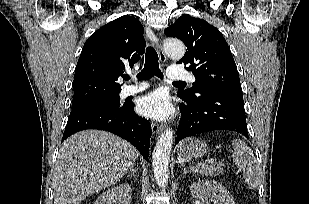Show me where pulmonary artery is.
I'll list each match as a JSON object with an SVG mask.
<instances>
[{
  "instance_id": "pulmonary-artery-1",
  "label": "pulmonary artery",
  "mask_w": 309,
  "mask_h": 204,
  "mask_svg": "<svg viewBox=\"0 0 309 204\" xmlns=\"http://www.w3.org/2000/svg\"><path fill=\"white\" fill-rule=\"evenodd\" d=\"M167 77L170 80H186L190 82L195 81V77L188 71L180 68L171 67L167 71ZM148 84L145 82H140L135 85H128L122 89V94L124 96L133 95L145 90Z\"/></svg>"
}]
</instances>
